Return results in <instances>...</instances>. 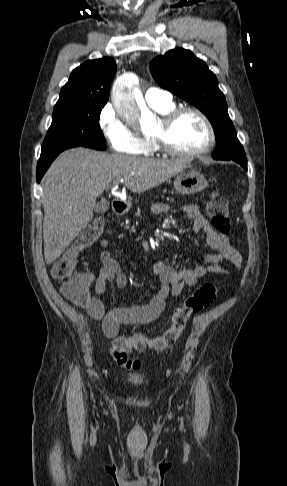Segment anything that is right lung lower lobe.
Here are the masks:
<instances>
[{"label": "right lung lower lobe", "instance_id": "1", "mask_svg": "<svg viewBox=\"0 0 287 486\" xmlns=\"http://www.w3.org/2000/svg\"><path fill=\"white\" fill-rule=\"evenodd\" d=\"M58 154L42 157L39 159L37 164V171H36L37 182H40L41 178L43 177V175L45 174V172L47 171V169L49 168L53 160L58 156Z\"/></svg>", "mask_w": 287, "mask_h": 486}]
</instances>
